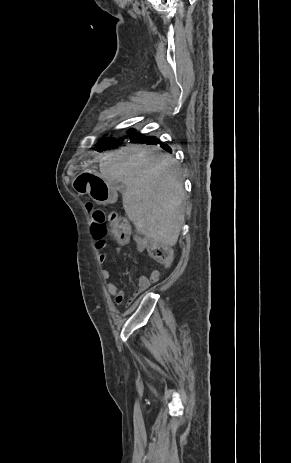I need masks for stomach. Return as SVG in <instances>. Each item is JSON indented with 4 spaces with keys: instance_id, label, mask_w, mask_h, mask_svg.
Returning a JSON list of instances; mask_svg holds the SVG:
<instances>
[{
    "instance_id": "1",
    "label": "stomach",
    "mask_w": 291,
    "mask_h": 463,
    "mask_svg": "<svg viewBox=\"0 0 291 463\" xmlns=\"http://www.w3.org/2000/svg\"><path fill=\"white\" fill-rule=\"evenodd\" d=\"M72 185L78 193H87L100 204L114 202L117 197L113 185L97 173L82 174L73 181Z\"/></svg>"
}]
</instances>
